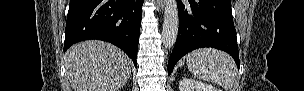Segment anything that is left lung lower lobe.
Segmentation results:
<instances>
[{"label":"left lung lower lobe","mask_w":304,"mask_h":91,"mask_svg":"<svg viewBox=\"0 0 304 91\" xmlns=\"http://www.w3.org/2000/svg\"><path fill=\"white\" fill-rule=\"evenodd\" d=\"M178 37L168 62V75L188 52L213 47L229 53L240 66L231 0H177Z\"/></svg>","instance_id":"left-lung-lower-lobe-1"}]
</instances>
